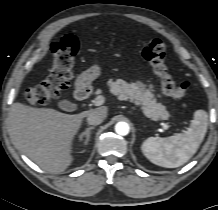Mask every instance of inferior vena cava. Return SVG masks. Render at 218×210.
Listing matches in <instances>:
<instances>
[{
  "label": "inferior vena cava",
  "instance_id": "1",
  "mask_svg": "<svg viewBox=\"0 0 218 210\" xmlns=\"http://www.w3.org/2000/svg\"><path fill=\"white\" fill-rule=\"evenodd\" d=\"M104 118L96 112H92L87 116V122L90 125H99L103 122Z\"/></svg>",
  "mask_w": 218,
  "mask_h": 210
}]
</instances>
